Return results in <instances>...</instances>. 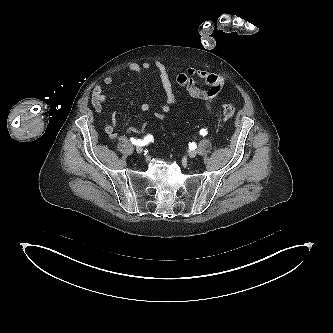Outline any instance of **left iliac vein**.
<instances>
[{
  "mask_svg": "<svg viewBox=\"0 0 333 333\" xmlns=\"http://www.w3.org/2000/svg\"><path fill=\"white\" fill-rule=\"evenodd\" d=\"M196 155H197V152H196V151H190V152L188 153V157H189V158H194V157H196Z\"/></svg>",
  "mask_w": 333,
  "mask_h": 333,
  "instance_id": "obj_1",
  "label": "left iliac vein"
}]
</instances>
